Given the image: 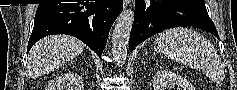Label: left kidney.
I'll return each mask as SVG.
<instances>
[{
    "label": "left kidney",
    "mask_w": 237,
    "mask_h": 90,
    "mask_svg": "<svg viewBox=\"0 0 237 90\" xmlns=\"http://www.w3.org/2000/svg\"><path fill=\"white\" fill-rule=\"evenodd\" d=\"M153 88L154 90H194L189 80L168 70L157 72L153 78Z\"/></svg>",
    "instance_id": "obj_1"
}]
</instances>
